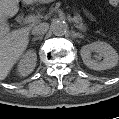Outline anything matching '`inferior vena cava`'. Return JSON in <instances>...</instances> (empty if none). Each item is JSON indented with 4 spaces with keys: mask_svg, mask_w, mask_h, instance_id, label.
<instances>
[{
    "mask_svg": "<svg viewBox=\"0 0 119 119\" xmlns=\"http://www.w3.org/2000/svg\"><path fill=\"white\" fill-rule=\"evenodd\" d=\"M49 29V24L48 23H40L35 25L32 28V34L33 35H42L44 33H46Z\"/></svg>",
    "mask_w": 119,
    "mask_h": 119,
    "instance_id": "602c4592",
    "label": "inferior vena cava"
}]
</instances>
